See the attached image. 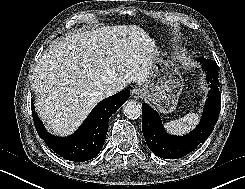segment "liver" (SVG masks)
Segmentation results:
<instances>
[{"label":"liver","instance_id":"obj_1","mask_svg":"<svg viewBox=\"0 0 245 189\" xmlns=\"http://www.w3.org/2000/svg\"><path fill=\"white\" fill-rule=\"evenodd\" d=\"M158 54L155 41L137 25L74 32L39 58L32 89L36 110L59 136L74 132L111 87L144 84Z\"/></svg>","mask_w":245,"mask_h":189}]
</instances>
